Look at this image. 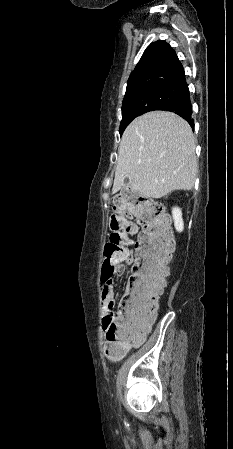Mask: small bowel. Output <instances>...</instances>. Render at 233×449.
Here are the masks:
<instances>
[{
  "label": "small bowel",
  "instance_id": "1",
  "mask_svg": "<svg viewBox=\"0 0 233 449\" xmlns=\"http://www.w3.org/2000/svg\"><path fill=\"white\" fill-rule=\"evenodd\" d=\"M138 232V228L136 225H133V234ZM134 264V259L132 254L130 253L128 256L122 258L114 267L111 272L106 273L102 276V285H101V297L102 301L105 305V309L108 312L115 305L116 302V294L113 289V281L114 277L117 274H121L124 270L125 266H131ZM154 317L149 319L146 322L140 324L138 331L136 333V338L134 342L127 346L125 352L133 347L139 346L146 338L148 332L150 331L151 325L153 323Z\"/></svg>",
  "mask_w": 233,
  "mask_h": 449
}]
</instances>
